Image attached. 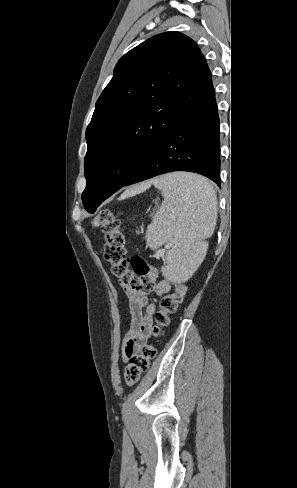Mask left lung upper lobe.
<instances>
[{"label": "left lung upper lobe", "mask_w": 297, "mask_h": 488, "mask_svg": "<svg viewBox=\"0 0 297 488\" xmlns=\"http://www.w3.org/2000/svg\"><path fill=\"white\" fill-rule=\"evenodd\" d=\"M214 95L204 56L180 32L158 34L122 56L86 129L85 209L94 213L176 126Z\"/></svg>", "instance_id": "5c2ea615"}]
</instances>
